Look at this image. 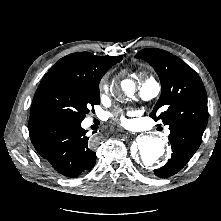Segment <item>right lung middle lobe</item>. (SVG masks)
<instances>
[{"instance_id":"dd1d6c3e","label":"right lung middle lobe","mask_w":221,"mask_h":221,"mask_svg":"<svg viewBox=\"0 0 221 221\" xmlns=\"http://www.w3.org/2000/svg\"><path fill=\"white\" fill-rule=\"evenodd\" d=\"M99 81L89 82L62 73L46 74L34 95L30 115L82 121L100 103Z\"/></svg>"}]
</instances>
